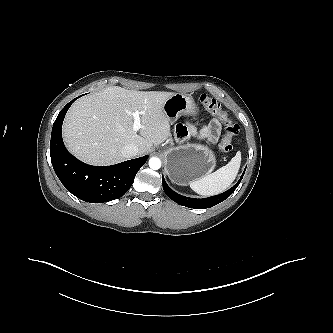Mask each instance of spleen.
Instances as JSON below:
<instances>
[{
    "label": "spleen",
    "instance_id": "spleen-1",
    "mask_svg": "<svg viewBox=\"0 0 333 333\" xmlns=\"http://www.w3.org/2000/svg\"><path fill=\"white\" fill-rule=\"evenodd\" d=\"M241 164V152H237L231 161L217 171L190 182V188L204 196L225 191L235 180Z\"/></svg>",
    "mask_w": 333,
    "mask_h": 333
}]
</instances>
